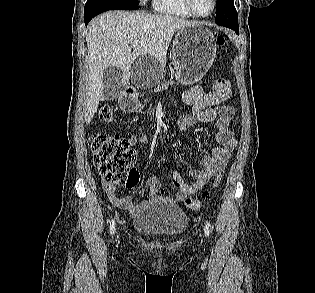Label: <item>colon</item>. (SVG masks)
I'll use <instances>...</instances> for the list:
<instances>
[{
  "label": "colon",
  "mask_w": 315,
  "mask_h": 293,
  "mask_svg": "<svg viewBox=\"0 0 315 293\" xmlns=\"http://www.w3.org/2000/svg\"><path fill=\"white\" fill-rule=\"evenodd\" d=\"M225 37L219 35V46L225 44ZM212 91L231 94V82L229 78H213ZM100 121L110 123L114 120V112L109 105L102 106L98 111ZM93 161L104 183L111 185H126L132 189L138 182V174L132 168L136 159L134 150L130 148L127 139L118 135L93 134L89 139ZM222 173L216 174L211 180V188L216 189L222 181ZM208 194V193H207ZM185 205L189 209L198 210L202 202L198 198H187Z\"/></svg>",
  "instance_id": "1"
}]
</instances>
